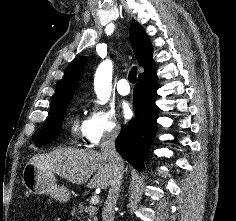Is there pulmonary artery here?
I'll list each match as a JSON object with an SVG mask.
<instances>
[{"label": "pulmonary artery", "instance_id": "e3ab8cb5", "mask_svg": "<svg viewBox=\"0 0 236 221\" xmlns=\"http://www.w3.org/2000/svg\"><path fill=\"white\" fill-rule=\"evenodd\" d=\"M116 88H117V91L120 95L125 96L130 93V87L128 84V80L125 78H122L118 81Z\"/></svg>", "mask_w": 236, "mask_h": 221}]
</instances>
